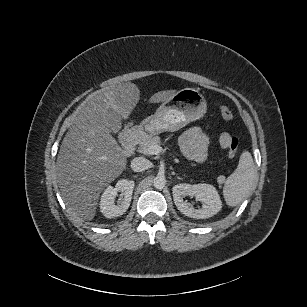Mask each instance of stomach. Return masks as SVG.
<instances>
[{"mask_svg":"<svg viewBox=\"0 0 307 307\" xmlns=\"http://www.w3.org/2000/svg\"><path fill=\"white\" fill-rule=\"evenodd\" d=\"M206 112V102L194 88H183L164 100L154 115L143 120L141 128L152 135L164 131H177L201 118Z\"/></svg>","mask_w":307,"mask_h":307,"instance_id":"0dacf381","label":"stomach"}]
</instances>
